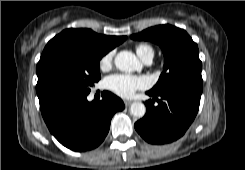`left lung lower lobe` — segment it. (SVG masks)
Returning <instances> with one entry per match:
<instances>
[{
    "label": "left lung lower lobe",
    "instance_id": "1",
    "mask_svg": "<svg viewBox=\"0 0 245 170\" xmlns=\"http://www.w3.org/2000/svg\"><path fill=\"white\" fill-rule=\"evenodd\" d=\"M201 92L185 86L171 87L159 93L147 92L145 116L135 123L136 131L151 144L170 143L184 135L193 122ZM155 101L158 105L155 106Z\"/></svg>",
    "mask_w": 245,
    "mask_h": 170
}]
</instances>
